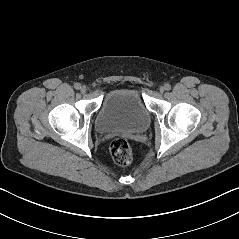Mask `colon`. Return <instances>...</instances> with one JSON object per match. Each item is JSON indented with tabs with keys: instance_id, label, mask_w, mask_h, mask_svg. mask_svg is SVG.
<instances>
[{
	"instance_id": "1",
	"label": "colon",
	"mask_w": 239,
	"mask_h": 239,
	"mask_svg": "<svg viewBox=\"0 0 239 239\" xmlns=\"http://www.w3.org/2000/svg\"><path fill=\"white\" fill-rule=\"evenodd\" d=\"M110 153L114 162L120 166L130 164L133 158L131 146L122 138H116L112 141Z\"/></svg>"
}]
</instances>
